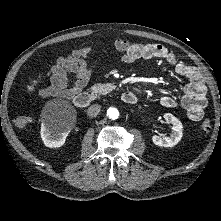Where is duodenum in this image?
Returning <instances> with one entry per match:
<instances>
[{
  "mask_svg": "<svg viewBox=\"0 0 221 221\" xmlns=\"http://www.w3.org/2000/svg\"><path fill=\"white\" fill-rule=\"evenodd\" d=\"M121 100L126 104L133 105L137 102V96L132 91H126L121 95ZM92 101V95L85 92L78 93L73 97L74 105L81 109L88 107Z\"/></svg>",
  "mask_w": 221,
  "mask_h": 221,
  "instance_id": "410a0bca",
  "label": "duodenum"
}]
</instances>
